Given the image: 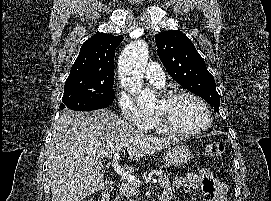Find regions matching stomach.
<instances>
[{
    "mask_svg": "<svg viewBox=\"0 0 271 201\" xmlns=\"http://www.w3.org/2000/svg\"><path fill=\"white\" fill-rule=\"evenodd\" d=\"M193 158L189 148L184 146H174L169 148L164 154L165 165L168 167L181 166Z\"/></svg>",
    "mask_w": 271,
    "mask_h": 201,
    "instance_id": "stomach-1",
    "label": "stomach"
}]
</instances>
